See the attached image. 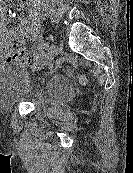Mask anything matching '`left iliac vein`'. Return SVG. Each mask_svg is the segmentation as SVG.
Segmentation results:
<instances>
[{"mask_svg": "<svg viewBox=\"0 0 133 173\" xmlns=\"http://www.w3.org/2000/svg\"><path fill=\"white\" fill-rule=\"evenodd\" d=\"M58 46L56 44H51L50 47L48 48L47 55L43 61L38 63L34 68L33 71H38L41 70L42 68L46 67L48 64L51 63V61L56 57L58 54Z\"/></svg>", "mask_w": 133, "mask_h": 173, "instance_id": "1", "label": "left iliac vein"}]
</instances>
